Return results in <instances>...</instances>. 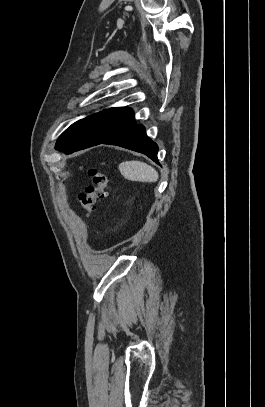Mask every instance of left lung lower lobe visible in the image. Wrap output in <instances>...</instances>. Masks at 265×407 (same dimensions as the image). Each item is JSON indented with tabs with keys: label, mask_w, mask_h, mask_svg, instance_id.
<instances>
[{
	"label": "left lung lower lobe",
	"mask_w": 265,
	"mask_h": 407,
	"mask_svg": "<svg viewBox=\"0 0 265 407\" xmlns=\"http://www.w3.org/2000/svg\"><path fill=\"white\" fill-rule=\"evenodd\" d=\"M111 144V145H117L121 146L133 151H137L140 153H143L147 155L149 158H151L153 161L156 163L158 162L157 159V152H158V146L156 143H154L147 135L145 132V128L141 124H132L129 127L125 128L124 130L120 131L119 133L113 135L106 141H103L98 144ZM95 144V145H98ZM92 145V146H95ZM91 147V146H89ZM88 147H76V148H63L61 151H63L66 154H70L72 152L85 149Z\"/></svg>",
	"instance_id": "1"
}]
</instances>
